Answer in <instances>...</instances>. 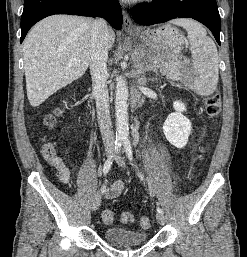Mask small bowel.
Segmentation results:
<instances>
[{
    "mask_svg": "<svg viewBox=\"0 0 247 257\" xmlns=\"http://www.w3.org/2000/svg\"><path fill=\"white\" fill-rule=\"evenodd\" d=\"M49 163L56 168L58 177L60 181L64 184L68 183L70 180V170L63 163L59 156H54L53 158L47 159ZM73 169L76 170V164H73ZM124 189V183L120 180L114 182L106 191V199H114L118 197Z\"/></svg>",
    "mask_w": 247,
    "mask_h": 257,
    "instance_id": "c3829d8e",
    "label": "small bowel"
}]
</instances>
